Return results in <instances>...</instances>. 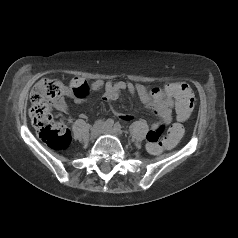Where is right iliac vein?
<instances>
[{"label": "right iliac vein", "instance_id": "63e3f726", "mask_svg": "<svg viewBox=\"0 0 238 238\" xmlns=\"http://www.w3.org/2000/svg\"><path fill=\"white\" fill-rule=\"evenodd\" d=\"M103 129H104L103 123L96 122L91 129V134H90L91 139H96L103 132Z\"/></svg>", "mask_w": 238, "mask_h": 238}]
</instances>
